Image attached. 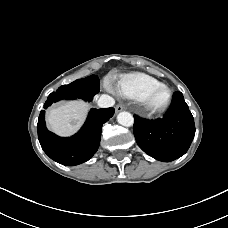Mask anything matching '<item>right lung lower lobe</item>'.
Segmentation results:
<instances>
[{"mask_svg": "<svg viewBox=\"0 0 228 228\" xmlns=\"http://www.w3.org/2000/svg\"><path fill=\"white\" fill-rule=\"evenodd\" d=\"M61 99H76V97L53 92L49 95L44 108ZM114 112V108L92 109L78 133L72 137L62 138L47 130L43 110L40 112L37 124L41 147L51 159L60 164L74 166L86 162L98 150L102 126L113 116Z\"/></svg>", "mask_w": 228, "mask_h": 228, "instance_id": "obj_1", "label": "right lung lower lobe"}]
</instances>
